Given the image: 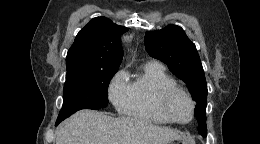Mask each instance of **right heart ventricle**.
Segmentation results:
<instances>
[{
    "instance_id": "right-heart-ventricle-1",
    "label": "right heart ventricle",
    "mask_w": 260,
    "mask_h": 144,
    "mask_svg": "<svg viewBox=\"0 0 260 144\" xmlns=\"http://www.w3.org/2000/svg\"><path fill=\"white\" fill-rule=\"evenodd\" d=\"M176 85L163 66L145 63L141 73L129 83V96L124 113L129 117L157 124H168L156 107V99L161 89Z\"/></svg>"
}]
</instances>
